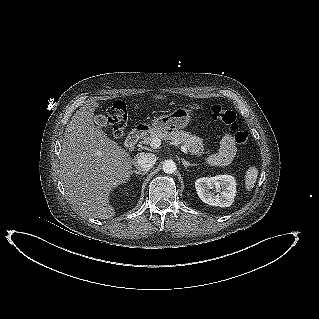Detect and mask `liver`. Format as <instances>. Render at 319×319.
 I'll list each match as a JSON object with an SVG mask.
<instances>
[{
  "label": "liver",
  "mask_w": 319,
  "mask_h": 319,
  "mask_svg": "<svg viewBox=\"0 0 319 319\" xmlns=\"http://www.w3.org/2000/svg\"><path fill=\"white\" fill-rule=\"evenodd\" d=\"M98 106V102L87 103L67 125L60 153L61 180L79 214L110 219L115 215L109 201L111 191L129 180L132 160L125 149L95 126Z\"/></svg>",
  "instance_id": "liver-1"
}]
</instances>
